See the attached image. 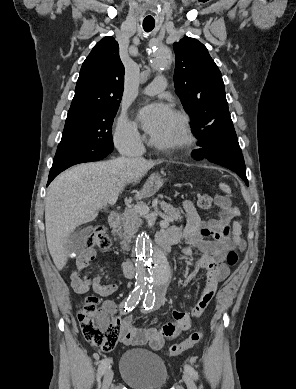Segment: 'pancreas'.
<instances>
[{
	"label": "pancreas",
	"mask_w": 296,
	"mask_h": 389,
	"mask_svg": "<svg viewBox=\"0 0 296 389\" xmlns=\"http://www.w3.org/2000/svg\"><path fill=\"white\" fill-rule=\"evenodd\" d=\"M160 209L164 212V218L168 222L181 221L182 216L180 210L174 208L170 204L164 201H158ZM139 205H145L143 203ZM142 225V215L135 209H128L123 214L119 225L113 230L115 236L121 239V247L124 251L129 250L134 234L138 232L139 227Z\"/></svg>",
	"instance_id": "1"
}]
</instances>
